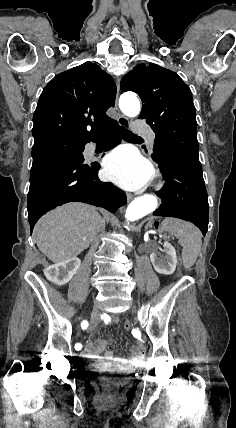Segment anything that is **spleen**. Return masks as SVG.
<instances>
[{
    "mask_svg": "<svg viewBox=\"0 0 236 428\" xmlns=\"http://www.w3.org/2000/svg\"><path fill=\"white\" fill-rule=\"evenodd\" d=\"M162 232H168L169 236H175L182 246L183 266L188 270L195 264L200 252L202 240L201 234L190 222H183L178 218H166L161 224Z\"/></svg>",
    "mask_w": 236,
    "mask_h": 428,
    "instance_id": "obj_1",
    "label": "spleen"
}]
</instances>
